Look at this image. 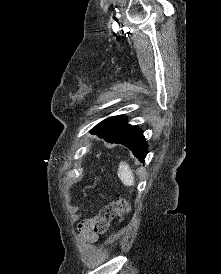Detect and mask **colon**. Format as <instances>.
<instances>
[{
    "label": "colon",
    "mask_w": 221,
    "mask_h": 274,
    "mask_svg": "<svg viewBox=\"0 0 221 274\" xmlns=\"http://www.w3.org/2000/svg\"><path fill=\"white\" fill-rule=\"evenodd\" d=\"M129 210L130 206L124 199H117L116 201L104 206L100 212V219L97 226L98 232L101 234L106 233L113 220L128 213Z\"/></svg>",
    "instance_id": "obj_1"
}]
</instances>
